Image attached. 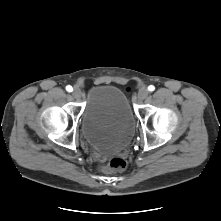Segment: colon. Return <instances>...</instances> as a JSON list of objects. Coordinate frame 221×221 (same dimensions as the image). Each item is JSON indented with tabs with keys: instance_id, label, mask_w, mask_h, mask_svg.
I'll use <instances>...</instances> for the list:
<instances>
[{
	"instance_id": "colon-1",
	"label": "colon",
	"mask_w": 221,
	"mask_h": 221,
	"mask_svg": "<svg viewBox=\"0 0 221 221\" xmlns=\"http://www.w3.org/2000/svg\"><path fill=\"white\" fill-rule=\"evenodd\" d=\"M126 160L122 157H114L112 158L108 165L103 169L106 171H122L126 168Z\"/></svg>"
}]
</instances>
